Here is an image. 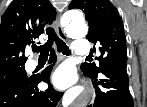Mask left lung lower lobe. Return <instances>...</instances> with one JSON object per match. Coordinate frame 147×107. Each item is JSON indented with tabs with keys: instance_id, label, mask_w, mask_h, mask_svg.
Here are the masks:
<instances>
[{
	"instance_id": "0a47b994",
	"label": "left lung lower lobe",
	"mask_w": 147,
	"mask_h": 107,
	"mask_svg": "<svg viewBox=\"0 0 147 107\" xmlns=\"http://www.w3.org/2000/svg\"><path fill=\"white\" fill-rule=\"evenodd\" d=\"M83 72L92 79L96 93L94 103L88 107H134L126 63L114 62L104 67L100 81L98 75Z\"/></svg>"
}]
</instances>
